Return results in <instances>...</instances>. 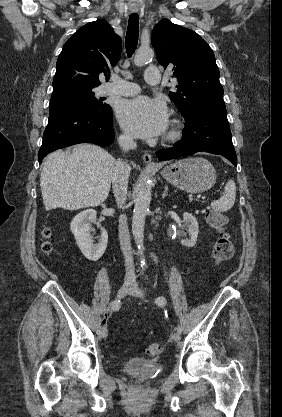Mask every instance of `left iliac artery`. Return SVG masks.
<instances>
[{"instance_id":"obj_1","label":"left iliac artery","mask_w":282,"mask_h":417,"mask_svg":"<svg viewBox=\"0 0 282 417\" xmlns=\"http://www.w3.org/2000/svg\"><path fill=\"white\" fill-rule=\"evenodd\" d=\"M155 303L158 305V306H164L166 303H167V301H166V298L165 297H163V296H159L156 300H155ZM177 332H179V333H181L182 332V328L178 325V327H177Z\"/></svg>"}]
</instances>
